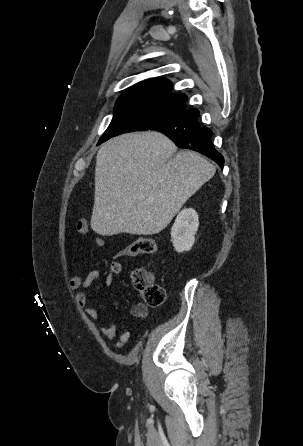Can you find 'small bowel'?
<instances>
[{
	"label": "small bowel",
	"mask_w": 303,
	"mask_h": 446,
	"mask_svg": "<svg viewBox=\"0 0 303 446\" xmlns=\"http://www.w3.org/2000/svg\"><path fill=\"white\" fill-rule=\"evenodd\" d=\"M76 233L78 236H85L89 233V224L86 220H80L76 227ZM94 242L97 246H104V239L100 236L94 238ZM122 271V265L118 261H114L110 265L109 273L105 278V285L111 287L114 283L115 277L119 275ZM100 273L97 270L90 271L86 277H82L80 274L75 272L69 281L70 288L72 290H78L77 302L81 308H83L85 314L91 319L100 318L101 314L99 310L91 307H87L88 302V289L99 280ZM131 316L137 319H145L149 310L148 307L143 303H135L130 308ZM98 330L100 334L107 339H117L114 347L117 349L123 348L131 339V334L128 330L123 329L118 330L116 325L110 324L108 326H99Z\"/></svg>",
	"instance_id": "1"
}]
</instances>
